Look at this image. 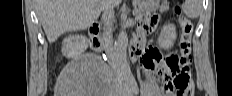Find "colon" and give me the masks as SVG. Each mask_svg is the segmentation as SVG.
Here are the masks:
<instances>
[{
	"label": "colon",
	"instance_id": "5ec220e1",
	"mask_svg": "<svg viewBox=\"0 0 232 96\" xmlns=\"http://www.w3.org/2000/svg\"><path fill=\"white\" fill-rule=\"evenodd\" d=\"M174 12L179 16L181 38L178 54L171 55L166 59L163 71L164 85L167 92L173 96H191L193 88L189 84L191 72L189 62L194 24L191 19L181 15L179 6L174 7Z\"/></svg>",
	"mask_w": 232,
	"mask_h": 96
}]
</instances>
